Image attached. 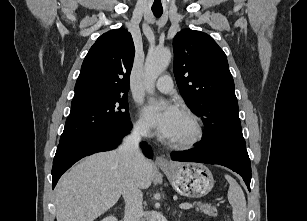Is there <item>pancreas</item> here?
I'll return each mask as SVG.
<instances>
[{"label": "pancreas", "mask_w": 307, "mask_h": 221, "mask_svg": "<svg viewBox=\"0 0 307 221\" xmlns=\"http://www.w3.org/2000/svg\"><path fill=\"white\" fill-rule=\"evenodd\" d=\"M197 210H200L201 212L212 216V217H216L217 216V209L211 205L208 204H203L201 202H197Z\"/></svg>", "instance_id": "1"}]
</instances>
